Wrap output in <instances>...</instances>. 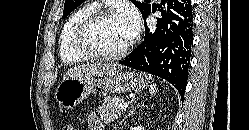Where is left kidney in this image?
<instances>
[{"label": "left kidney", "instance_id": "left-kidney-1", "mask_svg": "<svg viewBox=\"0 0 249 130\" xmlns=\"http://www.w3.org/2000/svg\"><path fill=\"white\" fill-rule=\"evenodd\" d=\"M131 130H144L143 126H135Z\"/></svg>", "mask_w": 249, "mask_h": 130}]
</instances>
